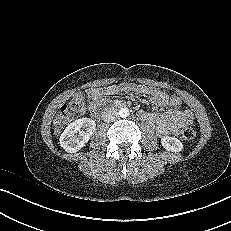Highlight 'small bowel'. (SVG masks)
Returning a JSON list of instances; mask_svg holds the SVG:
<instances>
[{
    "label": "small bowel",
    "instance_id": "obj_1",
    "mask_svg": "<svg viewBox=\"0 0 231 231\" xmlns=\"http://www.w3.org/2000/svg\"><path fill=\"white\" fill-rule=\"evenodd\" d=\"M124 92L145 95L155 107L171 106L169 96L164 91L143 85L122 83L107 88H91L86 90L89 112L91 114L96 113L97 108L102 104L103 97ZM139 117L141 120L150 124L159 136H177L182 128L190 126L194 122V116L190 110H183L172 106L168 110L160 113L140 111Z\"/></svg>",
    "mask_w": 231,
    "mask_h": 231
}]
</instances>
